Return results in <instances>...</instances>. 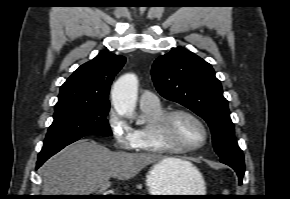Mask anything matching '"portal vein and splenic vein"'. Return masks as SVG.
Listing matches in <instances>:
<instances>
[{
    "mask_svg": "<svg viewBox=\"0 0 290 199\" xmlns=\"http://www.w3.org/2000/svg\"><path fill=\"white\" fill-rule=\"evenodd\" d=\"M109 186H110V182L106 181L100 186L99 191L105 192L109 188Z\"/></svg>",
    "mask_w": 290,
    "mask_h": 199,
    "instance_id": "1",
    "label": "portal vein and splenic vein"
}]
</instances>
